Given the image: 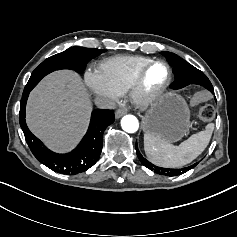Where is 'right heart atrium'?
<instances>
[{
  "instance_id": "1",
  "label": "right heart atrium",
  "mask_w": 237,
  "mask_h": 237,
  "mask_svg": "<svg viewBox=\"0 0 237 237\" xmlns=\"http://www.w3.org/2000/svg\"><path fill=\"white\" fill-rule=\"evenodd\" d=\"M85 83L89 91L107 103H114L120 93L100 68H90L85 73Z\"/></svg>"
}]
</instances>
